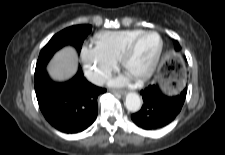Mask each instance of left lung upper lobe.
<instances>
[{"label":"left lung upper lobe","mask_w":225,"mask_h":155,"mask_svg":"<svg viewBox=\"0 0 225 155\" xmlns=\"http://www.w3.org/2000/svg\"><path fill=\"white\" fill-rule=\"evenodd\" d=\"M176 44H177V42H176ZM176 48H177V50H179V46H177Z\"/></svg>","instance_id":"5c2ea615"}]
</instances>
